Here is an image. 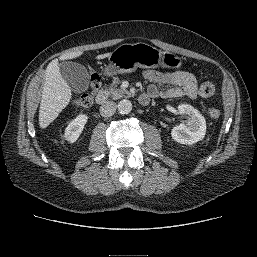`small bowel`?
<instances>
[{
	"label": "small bowel",
	"instance_id": "c3829d8e",
	"mask_svg": "<svg viewBox=\"0 0 257 257\" xmlns=\"http://www.w3.org/2000/svg\"><path fill=\"white\" fill-rule=\"evenodd\" d=\"M143 77L150 83L146 92L149 98L173 99L187 97L194 99L198 94V82L196 77L185 71L166 72L147 70ZM159 85L166 86L161 90Z\"/></svg>",
	"mask_w": 257,
	"mask_h": 257
}]
</instances>
